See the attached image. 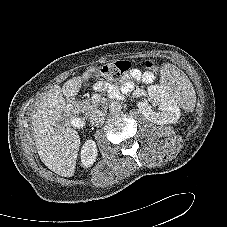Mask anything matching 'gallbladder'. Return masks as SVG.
I'll return each mask as SVG.
<instances>
[{
	"label": "gallbladder",
	"instance_id": "obj_1",
	"mask_svg": "<svg viewBox=\"0 0 227 227\" xmlns=\"http://www.w3.org/2000/svg\"><path fill=\"white\" fill-rule=\"evenodd\" d=\"M57 125L66 126V121L62 119V120L57 122Z\"/></svg>",
	"mask_w": 227,
	"mask_h": 227
}]
</instances>
